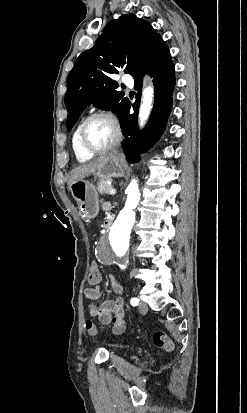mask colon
Segmentation results:
<instances>
[{
	"label": "colon",
	"instance_id": "5ec220e1",
	"mask_svg": "<svg viewBox=\"0 0 247 413\" xmlns=\"http://www.w3.org/2000/svg\"><path fill=\"white\" fill-rule=\"evenodd\" d=\"M101 282V274L96 272V263L91 262L88 264V285L96 286ZM84 331L90 337L97 335V328L92 320H86L84 323ZM153 341L157 343V347H161L162 351H166L168 355H175L177 348L173 346V343L168 340L164 331L155 330L152 335Z\"/></svg>",
	"mask_w": 247,
	"mask_h": 413
}]
</instances>
